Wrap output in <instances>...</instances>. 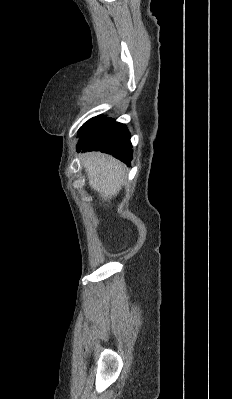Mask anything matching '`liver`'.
<instances>
[{"label": "liver", "mask_w": 232, "mask_h": 399, "mask_svg": "<svg viewBox=\"0 0 232 399\" xmlns=\"http://www.w3.org/2000/svg\"><path fill=\"white\" fill-rule=\"evenodd\" d=\"M82 166L90 188L98 192L103 200H112L122 190L125 166L119 160L100 152H91L82 156Z\"/></svg>", "instance_id": "liver-1"}]
</instances>
